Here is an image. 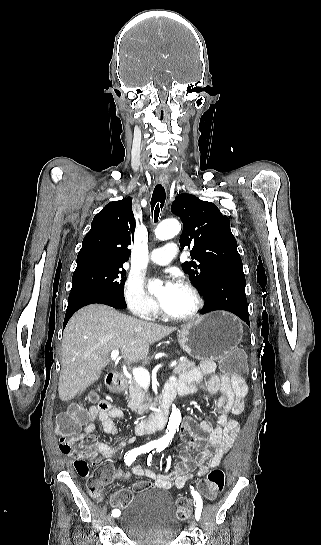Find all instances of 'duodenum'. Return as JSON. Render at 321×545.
Instances as JSON below:
<instances>
[{
  "instance_id": "obj_1",
  "label": "duodenum",
  "mask_w": 321,
  "mask_h": 545,
  "mask_svg": "<svg viewBox=\"0 0 321 545\" xmlns=\"http://www.w3.org/2000/svg\"><path fill=\"white\" fill-rule=\"evenodd\" d=\"M106 384L109 390L120 392L125 385V379L119 373H112L107 376ZM177 393L183 395L175 382L168 383L158 397L157 410L153 414L137 422L135 433L137 435H143L162 429L166 423L167 408Z\"/></svg>"
}]
</instances>
